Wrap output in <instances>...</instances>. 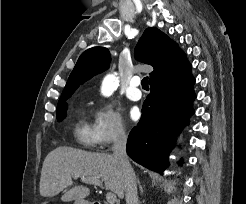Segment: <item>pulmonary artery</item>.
<instances>
[{"label":"pulmonary artery","instance_id":"1","mask_svg":"<svg viewBox=\"0 0 246 204\" xmlns=\"http://www.w3.org/2000/svg\"><path fill=\"white\" fill-rule=\"evenodd\" d=\"M140 78L133 77L130 81V85L126 90V96L132 101H138L142 97V93L139 89Z\"/></svg>","mask_w":246,"mask_h":204}]
</instances>
